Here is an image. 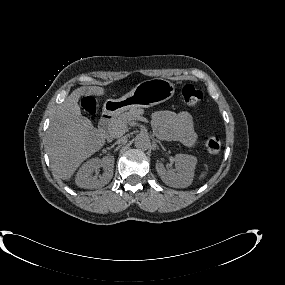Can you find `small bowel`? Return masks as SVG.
Masks as SVG:
<instances>
[{
  "mask_svg": "<svg viewBox=\"0 0 285 285\" xmlns=\"http://www.w3.org/2000/svg\"><path fill=\"white\" fill-rule=\"evenodd\" d=\"M152 121L156 134L161 138L180 141L188 147H193L198 143L192 117L187 112L157 111L153 114Z\"/></svg>",
  "mask_w": 285,
  "mask_h": 285,
  "instance_id": "small-bowel-1",
  "label": "small bowel"
}]
</instances>
